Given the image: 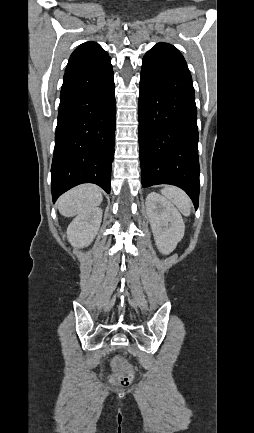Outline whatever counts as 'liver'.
<instances>
[{
  "mask_svg": "<svg viewBox=\"0 0 254 433\" xmlns=\"http://www.w3.org/2000/svg\"><path fill=\"white\" fill-rule=\"evenodd\" d=\"M102 200L98 186L83 184L63 194L58 200V209L63 216L72 217L96 208Z\"/></svg>",
  "mask_w": 254,
  "mask_h": 433,
  "instance_id": "1",
  "label": "liver"
}]
</instances>
